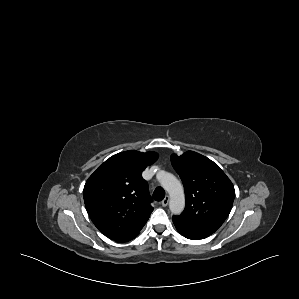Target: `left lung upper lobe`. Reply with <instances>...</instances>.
<instances>
[{"label":"left lung upper lobe","instance_id":"left-lung-upper-lobe-1","mask_svg":"<svg viewBox=\"0 0 299 299\" xmlns=\"http://www.w3.org/2000/svg\"><path fill=\"white\" fill-rule=\"evenodd\" d=\"M182 179L186 206L176 217L188 229L211 235L228 217L235 196L232 182L220 167L207 157L187 151L171 156Z\"/></svg>","mask_w":299,"mask_h":299}]
</instances>
